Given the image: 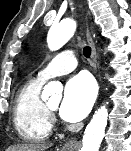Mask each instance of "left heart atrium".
<instances>
[{"label":"left heart atrium","instance_id":"obj_1","mask_svg":"<svg viewBox=\"0 0 131 151\" xmlns=\"http://www.w3.org/2000/svg\"><path fill=\"white\" fill-rule=\"evenodd\" d=\"M96 96V85L91 76L80 73L72 77L65 86L64 97L60 105L63 119L76 122L90 111Z\"/></svg>","mask_w":131,"mask_h":151}]
</instances>
